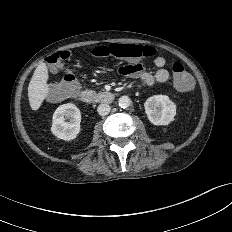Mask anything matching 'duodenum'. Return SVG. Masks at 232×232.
I'll return each instance as SVG.
<instances>
[{"instance_id":"410a0bca","label":"duodenum","mask_w":232,"mask_h":232,"mask_svg":"<svg viewBox=\"0 0 232 232\" xmlns=\"http://www.w3.org/2000/svg\"><path fill=\"white\" fill-rule=\"evenodd\" d=\"M79 98L83 103H102L108 104L115 99V95L109 91L93 92L91 90H83L79 94Z\"/></svg>"}]
</instances>
